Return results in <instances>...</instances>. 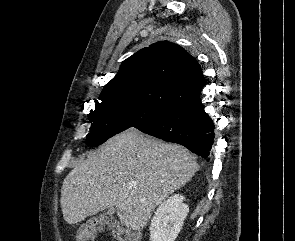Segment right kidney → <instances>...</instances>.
Returning a JSON list of instances; mask_svg holds the SVG:
<instances>
[{"mask_svg": "<svg viewBox=\"0 0 295 241\" xmlns=\"http://www.w3.org/2000/svg\"><path fill=\"white\" fill-rule=\"evenodd\" d=\"M184 199L176 194L159 205L151 220V241H174L177 238L189 212Z\"/></svg>", "mask_w": 295, "mask_h": 241, "instance_id": "ca27d5eb", "label": "right kidney"}]
</instances>
